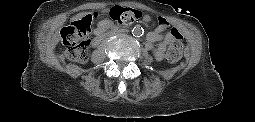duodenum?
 <instances>
[{
	"label": "duodenum",
	"mask_w": 255,
	"mask_h": 122,
	"mask_svg": "<svg viewBox=\"0 0 255 122\" xmlns=\"http://www.w3.org/2000/svg\"><path fill=\"white\" fill-rule=\"evenodd\" d=\"M103 34H104V33H103V31H102V30H101V31H99V33L97 34L96 39H97V40H100Z\"/></svg>",
	"instance_id": "1"
}]
</instances>
